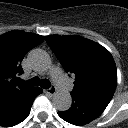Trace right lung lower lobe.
I'll return each mask as SVG.
<instances>
[{
  "mask_svg": "<svg viewBox=\"0 0 128 128\" xmlns=\"http://www.w3.org/2000/svg\"><path fill=\"white\" fill-rule=\"evenodd\" d=\"M42 93L40 88L31 90L19 95L2 111H0V125L11 127L25 120L30 114L34 99Z\"/></svg>",
  "mask_w": 128,
  "mask_h": 128,
  "instance_id": "1",
  "label": "right lung lower lobe"
}]
</instances>
